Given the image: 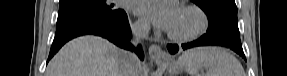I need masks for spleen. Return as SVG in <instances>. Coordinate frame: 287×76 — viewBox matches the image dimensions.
Segmentation results:
<instances>
[{
	"mask_svg": "<svg viewBox=\"0 0 287 76\" xmlns=\"http://www.w3.org/2000/svg\"><path fill=\"white\" fill-rule=\"evenodd\" d=\"M190 76H245L241 63L221 47H196L185 51L178 59ZM207 69L199 74V70Z\"/></svg>",
	"mask_w": 287,
	"mask_h": 76,
	"instance_id": "spleen-1",
	"label": "spleen"
}]
</instances>
